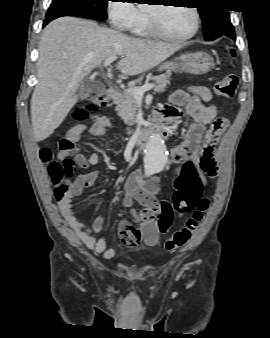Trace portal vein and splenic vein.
<instances>
[{
  "instance_id": "obj_1",
  "label": "portal vein and splenic vein",
  "mask_w": 270,
  "mask_h": 338,
  "mask_svg": "<svg viewBox=\"0 0 270 338\" xmlns=\"http://www.w3.org/2000/svg\"><path fill=\"white\" fill-rule=\"evenodd\" d=\"M117 59V56L116 55H113L109 58H107L105 61H104V65L105 66H108L110 65L113 61H115ZM153 88V84H146V85H143L142 87H132V88H129L128 91L136 98V99H142L143 98V95H144V92L145 91H148L150 89Z\"/></svg>"
}]
</instances>
